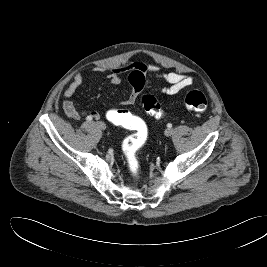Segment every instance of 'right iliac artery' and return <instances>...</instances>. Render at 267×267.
<instances>
[{"label": "right iliac artery", "mask_w": 267, "mask_h": 267, "mask_svg": "<svg viewBox=\"0 0 267 267\" xmlns=\"http://www.w3.org/2000/svg\"><path fill=\"white\" fill-rule=\"evenodd\" d=\"M87 120H88V121H91V120H92V118H91V117H87Z\"/></svg>", "instance_id": "82829eb1"}]
</instances>
